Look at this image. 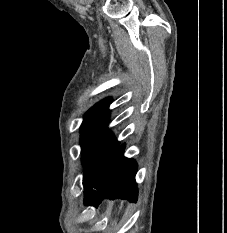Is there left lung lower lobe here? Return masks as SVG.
Returning <instances> with one entry per match:
<instances>
[{
    "instance_id": "obj_1",
    "label": "left lung lower lobe",
    "mask_w": 227,
    "mask_h": 233,
    "mask_svg": "<svg viewBox=\"0 0 227 233\" xmlns=\"http://www.w3.org/2000/svg\"><path fill=\"white\" fill-rule=\"evenodd\" d=\"M125 144L112 157L96 191L85 197V205L97 207L104 199L136 201L138 196L135 175L137 163L123 156Z\"/></svg>"
}]
</instances>
